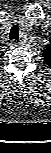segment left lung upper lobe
I'll use <instances>...</instances> for the list:
<instances>
[{"label":"left lung upper lobe","instance_id":"obj_1","mask_svg":"<svg viewBox=\"0 0 51 153\" xmlns=\"http://www.w3.org/2000/svg\"><path fill=\"white\" fill-rule=\"evenodd\" d=\"M42 55H43L44 63L51 68V43L50 45H46V48L43 50Z\"/></svg>","mask_w":51,"mask_h":153}]
</instances>
